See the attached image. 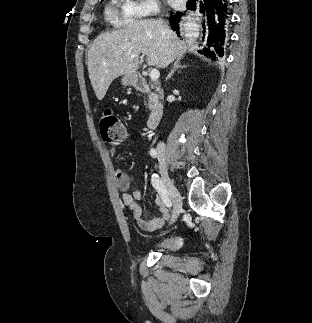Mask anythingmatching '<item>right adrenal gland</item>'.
Listing matches in <instances>:
<instances>
[{
	"mask_svg": "<svg viewBox=\"0 0 312 323\" xmlns=\"http://www.w3.org/2000/svg\"><path fill=\"white\" fill-rule=\"evenodd\" d=\"M181 60H184V58H179V60H176V62H174V68L173 70H171L170 74H168L166 80H170V78H172L173 74H175L178 68H186V66H181Z\"/></svg>",
	"mask_w": 312,
	"mask_h": 323,
	"instance_id": "obj_1",
	"label": "right adrenal gland"
}]
</instances>
